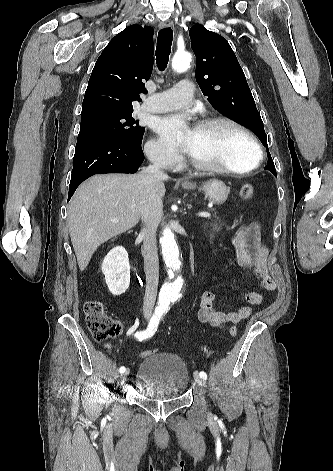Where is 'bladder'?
Returning <instances> with one entry per match:
<instances>
[{"label":"bladder","mask_w":333,"mask_h":471,"mask_svg":"<svg viewBox=\"0 0 333 471\" xmlns=\"http://www.w3.org/2000/svg\"><path fill=\"white\" fill-rule=\"evenodd\" d=\"M137 381L143 395L156 401L180 398L190 383V374L184 360L171 352H157L147 356L139 364Z\"/></svg>","instance_id":"1"}]
</instances>
